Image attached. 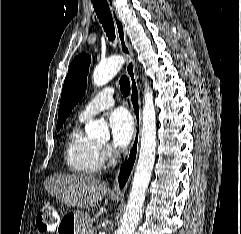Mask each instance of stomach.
<instances>
[{"mask_svg":"<svg viewBox=\"0 0 241 234\" xmlns=\"http://www.w3.org/2000/svg\"><path fill=\"white\" fill-rule=\"evenodd\" d=\"M112 199L119 200L120 197L112 196ZM60 231L68 234H86L88 221L81 211H71L63 217L60 223Z\"/></svg>","mask_w":241,"mask_h":234,"instance_id":"obj_1","label":"stomach"}]
</instances>
